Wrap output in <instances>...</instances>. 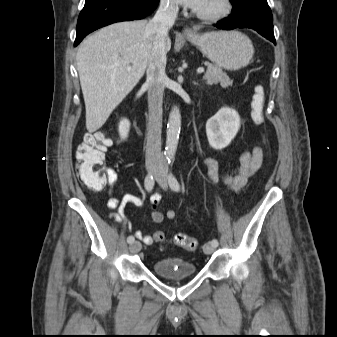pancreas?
Instances as JSON below:
<instances>
[{"instance_id":"cf45deb5","label":"pancreas","mask_w":337,"mask_h":337,"mask_svg":"<svg viewBox=\"0 0 337 337\" xmlns=\"http://www.w3.org/2000/svg\"><path fill=\"white\" fill-rule=\"evenodd\" d=\"M207 71L204 75V80L208 85L220 83L222 88L232 86L233 81L227 76V74L217 65L205 62Z\"/></svg>"}]
</instances>
